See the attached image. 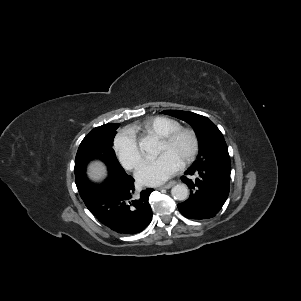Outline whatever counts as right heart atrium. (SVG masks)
Listing matches in <instances>:
<instances>
[{"instance_id": "d8ad5b80", "label": "right heart atrium", "mask_w": 301, "mask_h": 301, "mask_svg": "<svg viewBox=\"0 0 301 301\" xmlns=\"http://www.w3.org/2000/svg\"><path fill=\"white\" fill-rule=\"evenodd\" d=\"M114 151L127 169H136L141 163V153L135 133L130 129H123L117 133L113 141Z\"/></svg>"}]
</instances>
